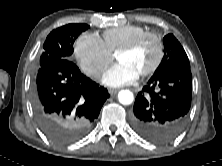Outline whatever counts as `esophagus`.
Here are the masks:
<instances>
[{
    "label": "esophagus",
    "mask_w": 222,
    "mask_h": 166,
    "mask_svg": "<svg viewBox=\"0 0 222 166\" xmlns=\"http://www.w3.org/2000/svg\"><path fill=\"white\" fill-rule=\"evenodd\" d=\"M118 91H119L118 89H109V93H110L111 95L116 94Z\"/></svg>",
    "instance_id": "esophagus-1"
}]
</instances>
